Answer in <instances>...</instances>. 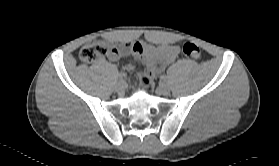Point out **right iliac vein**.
<instances>
[{
    "mask_svg": "<svg viewBox=\"0 0 279 166\" xmlns=\"http://www.w3.org/2000/svg\"><path fill=\"white\" fill-rule=\"evenodd\" d=\"M126 88V83L124 80H119L116 84V91L121 93L125 90Z\"/></svg>",
    "mask_w": 279,
    "mask_h": 166,
    "instance_id": "right-iliac-vein-1",
    "label": "right iliac vein"
}]
</instances>
